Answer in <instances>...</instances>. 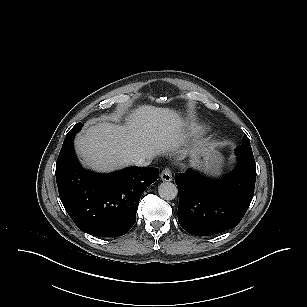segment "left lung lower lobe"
<instances>
[{"mask_svg":"<svg viewBox=\"0 0 307 307\" xmlns=\"http://www.w3.org/2000/svg\"><path fill=\"white\" fill-rule=\"evenodd\" d=\"M238 165L227 177L213 181L193 170L176 173L179 192L178 221L196 236H208L236 227L254 194V157L238 155Z\"/></svg>","mask_w":307,"mask_h":307,"instance_id":"obj_1","label":"left lung lower lobe"}]
</instances>
